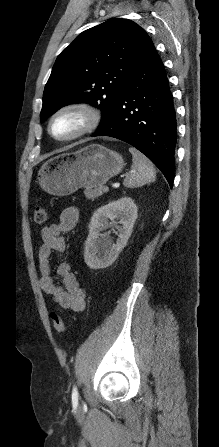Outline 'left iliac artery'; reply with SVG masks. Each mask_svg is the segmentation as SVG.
<instances>
[{
    "instance_id": "left-iliac-artery-1",
    "label": "left iliac artery",
    "mask_w": 219,
    "mask_h": 447,
    "mask_svg": "<svg viewBox=\"0 0 219 447\" xmlns=\"http://www.w3.org/2000/svg\"><path fill=\"white\" fill-rule=\"evenodd\" d=\"M72 400L77 401L78 400V391L77 388L74 386L72 391Z\"/></svg>"
}]
</instances>
